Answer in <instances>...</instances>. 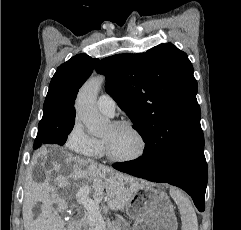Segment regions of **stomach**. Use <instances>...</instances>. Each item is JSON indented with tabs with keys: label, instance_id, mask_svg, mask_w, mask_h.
Returning <instances> with one entry per match:
<instances>
[{
	"label": "stomach",
	"instance_id": "stomach-1",
	"mask_svg": "<svg viewBox=\"0 0 241 230\" xmlns=\"http://www.w3.org/2000/svg\"><path fill=\"white\" fill-rule=\"evenodd\" d=\"M125 209L134 221L130 230H177V218L168 195L151 183L140 182Z\"/></svg>",
	"mask_w": 241,
	"mask_h": 230
}]
</instances>
